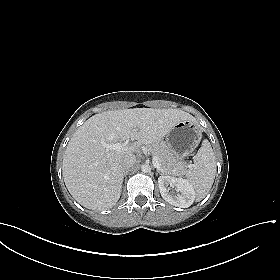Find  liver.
<instances>
[{
    "label": "liver",
    "instance_id": "1",
    "mask_svg": "<svg viewBox=\"0 0 280 280\" xmlns=\"http://www.w3.org/2000/svg\"><path fill=\"white\" fill-rule=\"evenodd\" d=\"M184 120L193 121L194 117L171 108L109 110L93 115L75 131L64 153L62 174L68 191L88 209L112 208L121 194L123 158L139 153L142 144L160 141ZM129 139L136 142L126 151L104 147V143Z\"/></svg>",
    "mask_w": 280,
    "mask_h": 280
}]
</instances>
